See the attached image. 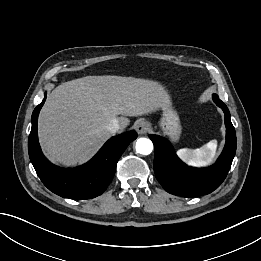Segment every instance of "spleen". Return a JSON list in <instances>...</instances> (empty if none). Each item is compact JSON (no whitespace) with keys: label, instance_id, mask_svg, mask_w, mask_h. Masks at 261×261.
I'll return each instance as SVG.
<instances>
[{"label":"spleen","instance_id":"obj_1","mask_svg":"<svg viewBox=\"0 0 261 261\" xmlns=\"http://www.w3.org/2000/svg\"><path fill=\"white\" fill-rule=\"evenodd\" d=\"M217 149V141L211 140L197 149L183 148L177 151L178 156L190 166L202 167L210 164Z\"/></svg>","mask_w":261,"mask_h":261}]
</instances>
